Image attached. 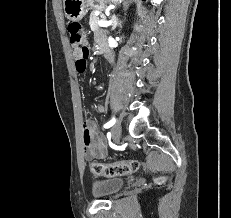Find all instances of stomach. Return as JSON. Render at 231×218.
Returning a JSON list of instances; mask_svg holds the SVG:
<instances>
[{"label": "stomach", "instance_id": "0dacf381", "mask_svg": "<svg viewBox=\"0 0 231 218\" xmlns=\"http://www.w3.org/2000/svg\"><path fill=\"white\" fill-rule=\"evenodd\" d=\"M119 0H64L65 16L71 21H80L88 9L102 10L107 3H118Z\"/></svg>", "mask_w": 231, "mask_h": 218}]
</instances>
